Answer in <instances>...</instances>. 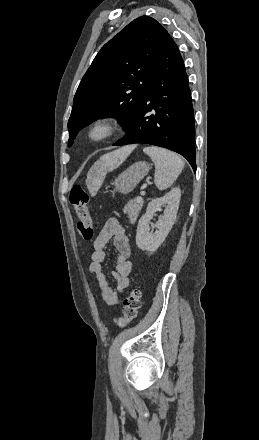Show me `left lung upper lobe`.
Returning a JSON list of instances; mask_svg holds the SVG:
<instances>
[{
  "mask_svg": "<svg viewBox=\"0 0 259 440\" xmlns=\"http://www.w3.org/2000/svg\"><path fill=\"white\" fill-rule=\"evenodd\" d=\"M167 31L141 16L108 41L83 76L68 121L69 143L108 111L126 129L133 121L164 48Z\"/></svg>",
  "mask_w": 259,
  "mask_h": 440,
  "instance_id": "5c2ea615",
  "label": "left lung upper lobe"
}]
</instances>
